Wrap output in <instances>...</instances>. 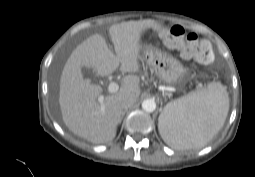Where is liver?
I'll return each mask as SVG.
<instances>
[{
  "label": "liver",
  "instance_id": "1",
  "mask_svg": "<svg viewBox=\"0 0 255 177\" xmlns=\"http://www.w3.org/2000/svg\"><path fill=\"white\" fill-rule=\"evenodd\" d=\"M154 25V20L112 25L109 34L116 54L99 34L90 36L72 52L63 68L59 90L62 118L70 131L94 144L107 143L115 138L123 114L121 101L126 96L139 97L140 79L136 75L123 77L120 90L100 102L101 87L84 79L81 69L93 68L102 77L119 67L124 73L138 72L141 37Z\"/></svg>",
  "mask_w": 255,
  "mask_h": 177
}]
</instances>
